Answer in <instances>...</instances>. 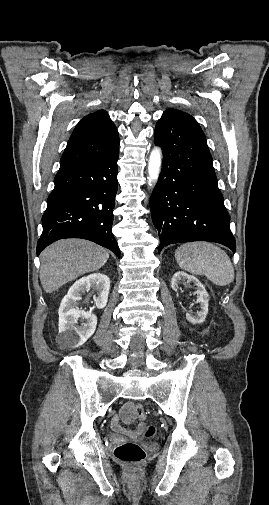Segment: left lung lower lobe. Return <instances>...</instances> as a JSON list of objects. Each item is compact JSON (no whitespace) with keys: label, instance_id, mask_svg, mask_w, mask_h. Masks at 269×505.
Segmentation results:
<instances>
[{"label":"left lung lower lobe","instance_id":"left-lung-lower-lobe-1","mask_svg":"<svg viewBox=\"0 0 269 505\" xmlns=\"http://www.w3.org/2000/svg\"><path fill=\"white\" fill-rule=\"evenodd\" d=\"M154 140L163 150L162 172L150 199L159 252L169 244L190 241L217 242L235 252L229 215L199 124L181 111L164 113Z\"/></svg>","mask_w":269,"mask_h":505}]
</instances>
